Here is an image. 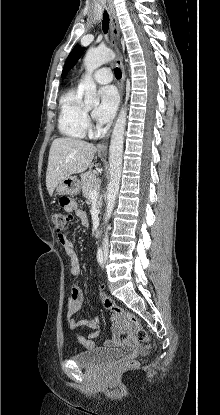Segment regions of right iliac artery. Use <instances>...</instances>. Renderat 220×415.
<instances>
[{"instance_id": "1", "label": "right iliac artery", "mask_w": 220, "mask_h": 415, "mask_svg": "<svg viewBox=\"0 0 220 415\" xmlns=\"http://www.w3.org/2000/svg\"><path fill=\"white\" fill-rule=\"evenodd\" d=\"M97 261L100 265H102L104 262V256L101 248H99L97 252Z\"/></svg>"}]
</instances>
